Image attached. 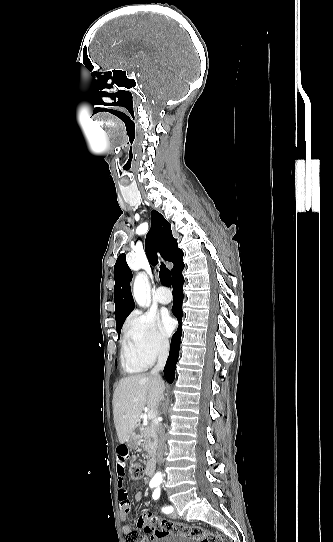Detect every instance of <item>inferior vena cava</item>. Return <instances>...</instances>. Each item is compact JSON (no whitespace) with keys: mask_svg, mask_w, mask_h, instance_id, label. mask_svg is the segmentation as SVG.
I'll return each instance as SVG.
<instances>
[{"mask_svg":"<svg viewBox=\"0 0 333 542\" xmlns=\"http://www.w3.org/2000/svg\"><path fill=\"white\" fill-rule=\"evenodd\" d=\"M168 350H169V342H165L159 356H158V362L156 364V366H154L153 370H151L150 372V376H157V378H160L161 380V376H159V372H161V370H164V366L166 364V360L168 358ZM161 400H164V396L163 394H161L160 396V400L159 402H161ZM158 434H159V444H158V450H157V458H158V464H162L163 462V454H164V450L166 448L165 446V432L162 428V426H158Z\"/></svg>","mask_w":333,"mask_h":542,"instance_id":"602c4592","label":"inferior vena cava"}]
</instances>
